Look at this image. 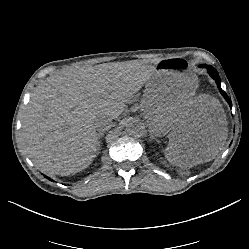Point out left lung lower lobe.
<instances>
[{"label":"left lung lower lobe","instance_id":"0a47b994","mask_svg":"<svg viewBox=\"0 0 249 249\" xmlns=\"http://www.w3.org/2000/svg\"><path fill=\"white\" fill-rule=\"evenodd\" d=\"M202 67H205L208 70L209 75L216 81V84H217V87H218L220 93L226 99V101L229 103L230 107H232L231 100L229 99L227 94L220 87L221 79H220L216 69L210 65H202Z\"/></svg>","mask_w":249,"mask_h":249}]
</instances>
